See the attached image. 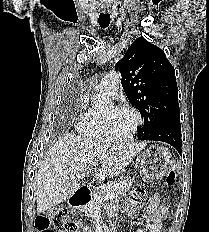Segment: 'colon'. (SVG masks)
<instances>
[{"mask_svg":"<svg viewBox=\"0 0 209 232\" xmlns=\"http://www.w3.org/2000/svg\"><path fill=\"white\" fill-rule=\"evenodd\" d=\"M176 179L175 169H170L166 182L171 185ZM35 227L39 232H53L54 228L58 232H77L78 224L69 217L64 208L57 207L45 213L39 214L35 218Z\"/></svg>","mask_w":209,"mask_h":232,"instance_id":"colon-1","label":"colon"}]
</instances>
